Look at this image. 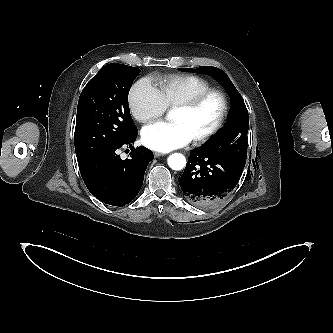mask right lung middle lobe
<instances>
[{"mask_svg":"<svg viewBox=\"0 0 333 333\" xmlns=\"http://www.w3.org/2000/svg\"><path fill=\"white\" fill-rule=\"evenodd\" d=\"M140 71L112 63L102 67L87 83L77 107L74 143L78 163L123 143L137 132L128 93Z\"/></svg>","mask_w":333,"mask_h":333,"instance_id":"obj_1","label":"right lung middle lobe"}]
</instances>
